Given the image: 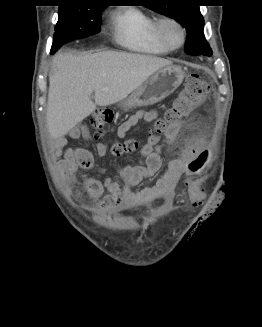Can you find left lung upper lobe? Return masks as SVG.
<instances>
[{
    "label": "left lung upper lobe",
    "instance_id": "1",
    "mask_svg": "<svg viewBox=\"0 0 262 327\" xmlns=\"http://www.w3.org/2000/svg\"><path fill=\"white\" fill-rule=\"evenodd\" d=\"M148 8L174 18L187 30L185 52L190 55L211 56L212 51L205 40L204 19L198 5L192 0H149Z\"/></svg>",
    "mask_w": 262,
    "mask_h": 327
}]
</instances>
